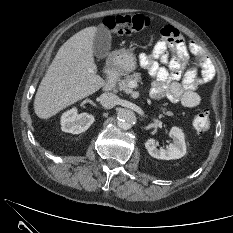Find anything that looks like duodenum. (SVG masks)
<instances>
[{
    "label": "duodenum",
    "instance_id": "1",
    "mask_svg": "<svg viewBox=\"0 0 233 233\" xmlns=\"http://www.w3.org/2000/svg\"><path fill=\"white\" fill-rule=\"evenodd\" d=\"M118 78V71L115 67L109 66L106 70V80L104 89L105 90H111L116 84Z\"/></svg>",
    "mask_w": 233,
    "mask_h": 233
}]
</instances>
